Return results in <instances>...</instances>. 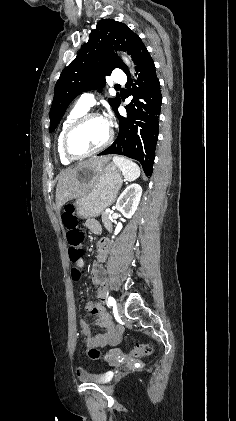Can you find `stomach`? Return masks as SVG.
I'll use <instances>...</instances> for the list:
<instances>
[{"label":"stomach","instance_id":"1","mask_svg":"<svg viewBox=\"0 0 236 421\" xmlns=\"http://www.w3.org/2000/svg\"><path fill=\"white\" fill-rule=\"evenodd\" d=\"M78 178L81 186L74 204L79 219H93L104 213V208L115 202L123 182L115 162L81 166Z\"/></svg>","mask_w":236,"mask_h":421}]
</instances>
